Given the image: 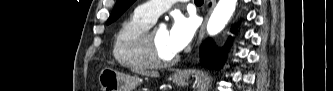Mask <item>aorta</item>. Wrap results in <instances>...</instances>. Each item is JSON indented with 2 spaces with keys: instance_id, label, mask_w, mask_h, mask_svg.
Segmentation results:
<instances>
[{
  "instance_id": "762f6f07",
  "label": "aorta",
  "mask_w": 333,
  "mask_h": 91,
  "mask_svg": "<svg viewBox=\"0 0 333 91\" xmlns=\"http://www.w3.org/2000/svg\"><path fill=\"white\" fill-rule=\"evenodd\" d=\"M236 3L237 0L218 1L207 23L208 34L216 35L225 27L235 11Z\"/></svg>"
}]
</instances>
